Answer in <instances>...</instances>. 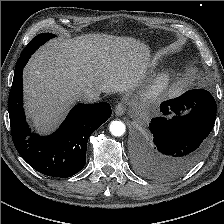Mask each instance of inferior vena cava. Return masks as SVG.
Instances as JSON below:
<instances>
[{
  "label": "inferior vena cava",
  "mask_w": 224,
  "mask_h": 224,
  "mask_svg": "<svg viewBox=\"0 0 224 224\" xmlns=\"http://www.w3.org/2000/svg\"><path fill=\"white\" fill-rule=\"evenodd\" d=\"M80 101L85 103H94L100 99V92L92 89H87L79 94Z\"/></svg>",
  "instance_id": "602c4592"
}]
</instances>
